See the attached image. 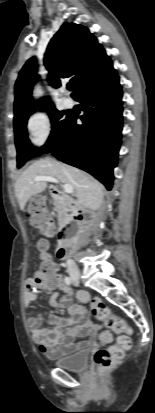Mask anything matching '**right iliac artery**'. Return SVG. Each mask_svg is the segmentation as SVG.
I'll use <instances>...</instances> for the list:
<instances>
[{
	"label": "right iliac artery",
	"instance_id": "right-iliac-artery-1",
	"mask_svg": "<svg viewBox=\"0 0 155 413\" xmlns=\"http://www.w3.org/2000/svg\"><path fill=\"white\" fill-rule=\"evenodd\" d=\"M64 281L67 285H70L72 283V279L70 277H65Z\"/></svg>",
	"mask_w": 155,
	"mask_h": 413
}]
</instances>
